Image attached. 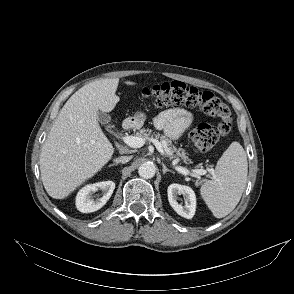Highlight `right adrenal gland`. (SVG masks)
<instances>
[{
	"mask_svg": "<svg viewBox=\"0 0 294 294\" xmlns=\"http://www.w3.org/2000/svg\"><path fill=\"white\" fill-rule=\"evenodd\" d=\"M110 166H118V163H113Z\"/></svg>",
	"mask_w": 294,
	"mask_h": 294,
	"instance_id": "obj_1",
	"label": "right adrenal gland"
}]
</instances>
